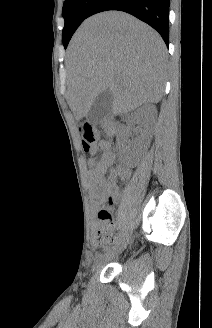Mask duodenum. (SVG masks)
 I'll return each instance as SVG.
<instances>
[{"label": "duodenum", "mask_w": 212, "mask_h": 328, "mask_svg": "<svg viewBox=\"0 0 212 328\" xmlns=\"http://www.w3.org/2000/svg\"><path fill=\"white\" fill-rule=\"evenodd\" d=\"M104 125L109 133L114 134L116 132V123L112 119H106Z\"/></svg>", "instance_id": "1"}]
</instances>
